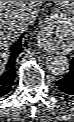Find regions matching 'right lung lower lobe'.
I'll return each mask as SVG.
<instances>
[{
	"instance_id": "1",
	"label": "right lung lower lobe",
	"mask_w": 74,
	"mask_h": 122,
	"mask_svg": "<svg viewBox=\"0 0 74 122\" xmlns=\"http://www.w3.org/2000/svg\"><path fill=\"white\" fill-rule=\"evenodd\" d=\"M22 37L23 36H21L11 47L9 61L6 64L5 71H0V97L6 95L12 89L16 73V59L23 50Z\"/></svg>"
}]
</instances>
